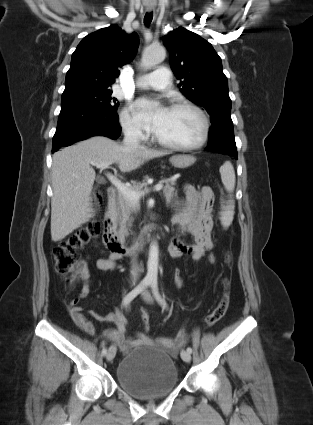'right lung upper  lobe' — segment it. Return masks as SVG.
<instances>
[{
  "instance_id": "right-lung-upper-lobe-1",
  "label": "right lung upper lobe",
  "mask_w": 313,
  "mask_h": 425,
  "mask_svg": "<svg viewBox=\"0 0 313 425\" xmlns=\"http://www.w3.org/2000/svg\"><path fill=\"white\" fill-rule=\"evenodd\" d=\"M138 46L136 33L127 34L115 24L87 35L72 54L63 93L110 89L120 74L118 68L134 59Z\"/></svg>"
}]
</instances>
